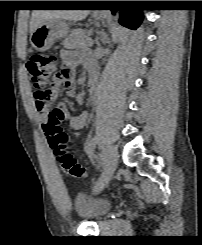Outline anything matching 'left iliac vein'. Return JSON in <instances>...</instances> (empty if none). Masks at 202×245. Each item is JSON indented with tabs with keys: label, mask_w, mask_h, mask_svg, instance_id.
Wrapping results in <instances>:
<instances>
[{
	"label": "left iliac vein",
	"mask_w": 202,
	"mask_h": 245,
	"mask_svg": "<svg viewBox=\"0 0 202 245\" xmlns=\"http://www.w3.org/2000/svg\"><path fill=\"white\" fill-rule=\"evenodd\" d=\"M102 162L104 165V172L100 177V189L108 184L117 166L118 152L117 148L114 145L107 146L106 149L103 151Z\"/></svg>",
	"instance_id": "obj_1"
}]
</instances>
